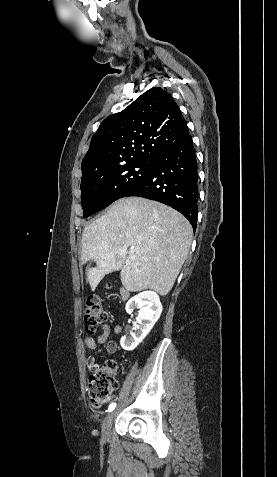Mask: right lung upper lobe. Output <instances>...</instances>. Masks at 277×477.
Wrapping results in <instances>:
<instances>
[{
    "instance_id": "right-lung-upper-lobe-1",
    "label": "right lung upper lobe",
    "mask_w": 277,
    "mask_h": 477,
    "mask_svg": "<svg viewBox=\"0 0 277 477\" xmlns=\"http://www.w3.org/2000/svg\"><path fill=\"white\" fill-rule=\"evenodd\" d=\"M188 136L186 121L171 94L151 88L100 124L82 161V171L152 162Z\"/></svg>"
}]
</instances>
